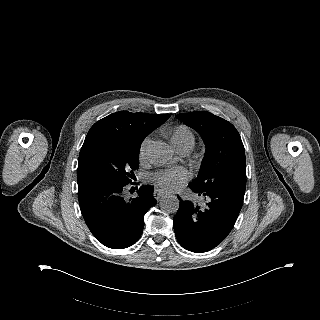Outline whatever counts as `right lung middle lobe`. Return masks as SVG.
<instances>
[{
  "instance_id": "1",
  "label": "right lung middle lobe",
  "mask_w": 320,
  "mask_h": 320,
  "mask_svg": "<svg viewBox=\"0 0 320 320\" xmlns=\"http://www.w3.org/2000/svg\"><path fill=\"white\" fill-rule=\"evenodd\" d=\"M141 142L135 144H101L79 157L78 173L96 174L117 182L129 183L139 166Z\"/></svg>"
}]
</instances>
